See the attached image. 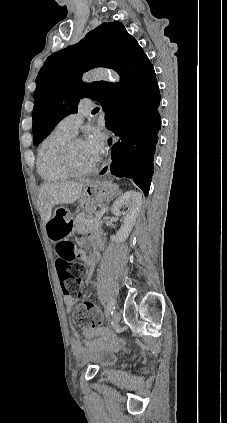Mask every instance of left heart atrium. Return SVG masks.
<instances>
[{
	"label": "left heart atrium",
	"mask_w": 227,
	"mask_h": 423,
	"mask_svg": "<svg viewBox=\"0 0 227 423\" xmlns=\"http://www.w3.org/2000/svg\"><path fill=\"white\" fill-rule=\"evenodd\" d=\"M84 146L91 163L95 164L99 160L104 148V134L98 129H92L84 141Z\"/></svg>",
	"instance_id": "left-heart-atrium-1"
}]
</instances>
